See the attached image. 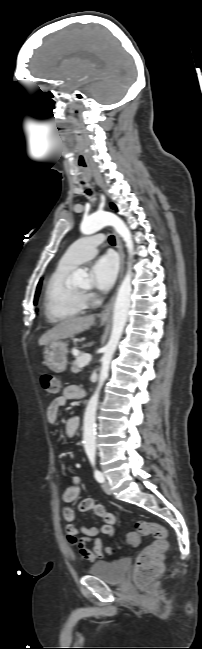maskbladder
Wrapping results in <instances>:
<instances>
[{
  "mask_svg": "<svg viewBox=\"0 0 202 649\" xmlns=\"http://www.w3.org/2000/svg\"><path fill=\"white\" fill-rule=\"evenodd\" d=\"M129 568L130 561L127 558L98 561L88 569V574L109 584H119L126 578Z\"/></svg>",
  "mask_w": 202,
  "mask_h": 649,
  "instance_id": "31cf9c89",
  "label": "bladder"
}]
</instances>
